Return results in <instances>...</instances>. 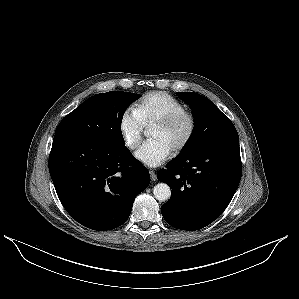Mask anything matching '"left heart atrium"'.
<instances>
[{
    "label": "left heart atrium",
    "mask_w": 299,
    "mask_h": 299,
    "mask_svg": "<svg viewBox=\"0 0 299 299\" xmlns=\"http://www.w3.org/2000/svg\"><path fill=\"white\" fill-rule=\"evenodd\" d=\"M171 150L161 140H149L135 152V158L149 167L163 164L170 156Z\"/></svg>",
    "instance_id": "39dd6f15"
}]
</instances>
